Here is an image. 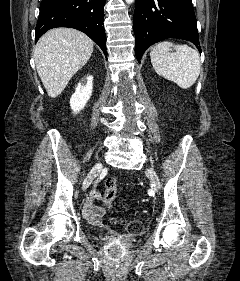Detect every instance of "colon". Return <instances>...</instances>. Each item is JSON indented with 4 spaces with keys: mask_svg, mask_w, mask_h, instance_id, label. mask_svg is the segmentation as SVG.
<instances>
[{
    "mask_svg": "<svg viewBox=\"0 0 240 281\" xmlns=\"http://www.w3.org/2000/svg\"><path fill=\"white\" fill-rule=\"evenodd\" d=\"M117 181L114 178L107 179L102 195L104 204L111 209L116 200ZM143 225L139 220H129L125 223V230L129 234L137 235L141 233Z\"/></svg>",
    "mask_w": 240,
    "mask_h": 281,
    "instance_id": "obj_1",
    "label": "colon"
}]
</instances>
